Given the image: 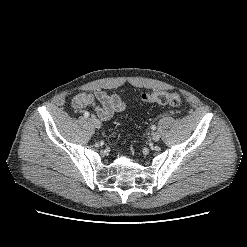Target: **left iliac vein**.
<instances>
[{"mask_svg": "<svg viewBox=\"0 0 247 247\" xmlns=\"http://www.w3.org/2000/svg\"><path fill=\"white\" fill-rule=\"evenodd\" d=\"M152 139L153 141H158L160 139V134L158 132H153L152 133Z\"/></svg>", "mask_w": 247, "mask_h": 247, "instance_id": "left-iliac-vein-1", "label": "left iliac vein"}]
</instances>
